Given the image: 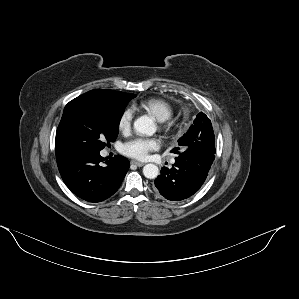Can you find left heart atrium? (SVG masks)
<instances>
[{"label":"left heart atrium","mask_w":299,"mask_h":299,"mask_svg":"<svg viewBox=\"0 0 299 299\" xmlns=\"http://www.w3.org/2000/svg\"><path fill=\"white\" fill-rule=\"evenodd\" d=\"M159 147L158 141L155 139L135 138L126 142L121 151L126 156L135 159H144L152 150Z\"/></svg>","instance_id":"1"}]
</instances>
